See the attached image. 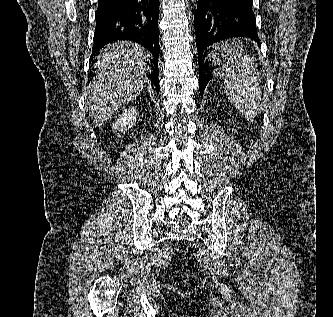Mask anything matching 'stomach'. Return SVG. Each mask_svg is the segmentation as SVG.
I'll use <instances>...</instances> for the list:
<instances>
[{
	"mask_svg": "<svg viewBox=\"0 0 333 317\" xmlns=\"http://www.w3.org/2000/svg\"><path fill=\"white\" fill-rule=\"evenodd\" d=\"M212 52L216 55H209V62H222V69H240V62H253V55H244L245 45L241 41H218L212 45ZM224 74L227 71H217V82H257V81H224Z\"/></svg>",
	"mask_w": 333,
	"mask_h": 317,
	"instance_id": "0dacf381",
	"label": "stomach"
}]
</instances>
